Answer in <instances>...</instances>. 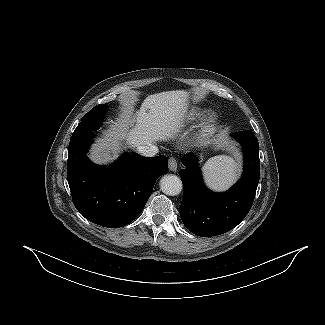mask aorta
Here are the masks:
<instances>
[{"label":"aorta","instance_id":"762f6f07","mask_svg":"<svg viewBox=\"0 0 325 325\" xmlns=\"http://www.w3.org/2000/svg\"><path fill=\"white\" fill-rule=\"evenodd\" d=\"M182 188V181L176 175H164L160 180V189L166 195H178Z\"/></svg>","mask_w":325,"mask_h":325}]
</instances>
